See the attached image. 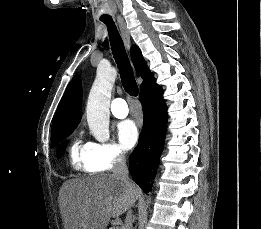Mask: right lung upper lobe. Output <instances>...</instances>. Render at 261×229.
I'll list each match as a JSON object with an SVG mask.
<instances>
[{"instance_id":"obj_1","label":"right lung upper lobe","mask_w":261,"mask_h":229,"mask_svg":"<svg viewBox=\"0 0 261 229\" xmlns=\"http://www.w3.org/2000/svg\"><path fill=\"white\" fill-rule=\"evenodd\" d=\"M131 58L137 73L142 76L144 80L141 84L142 91L147 86L154 83L155 79L153 78V74L148 69L140 49L136 45L131 47ZM81 99V80L79 76H76L67 86L66 91L59 103L53 119L52 128L66 124L78 125L81 120L82 113ZM57 144H59L57 140L52 137L51 147H54Z\"/></svg>"}]
</instances>
